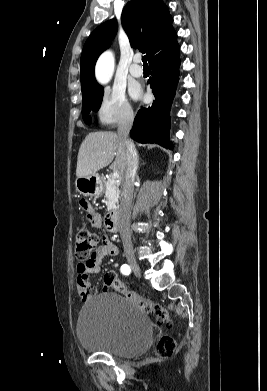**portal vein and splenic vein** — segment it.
Masks as SVG:
<instances>
[{
	"instance_id": "18ae733b",
	"label": "portal vein and splenic vein",
	"mask_w": 267,
	"mask_h": 391,
	"mask_svg": "<svg viewBox=\"0 0 267 391\" xmlns=\"http://www.w3.org/2000/svg\"><path fill=\"white\" fill-rule=\"evenodd\" d=\"M111 177H112L113 179H117V178H119V173H118L117 171H114V172L111 174Z\"/></svg>"
}]
</instances>
